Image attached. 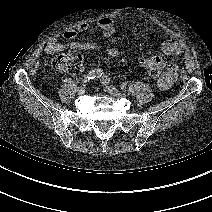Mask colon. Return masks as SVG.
Wrapping results in <instances>:
<instances>
[{
    "instance_id": "1",
    "label": "colon",
    "mask_w": 212,
    "mask_h": 212,
    "mask_svg": "<svg viewBox=\"0 0 212 212\" xmlns=\"http://www.w3.org/2000/svg\"><path fill=\"white\" fill-rule=\"evenodd\" d=\"M50 67L58 72H65L71 75L80 74L84 69L83 55L78 51L69 53H63L51 58ZM147 73L150 77L162 81L164 75L162 74V68L156 65H150L147 68Z\"/></svg>"
}]
</instances>
